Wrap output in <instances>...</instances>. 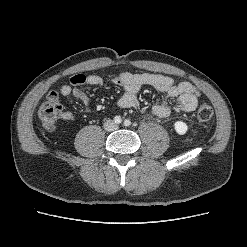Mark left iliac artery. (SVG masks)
<instances>
[{"mask_svg":"<svg viewBox=\"0 0 247 247\" xmlns=\"http://www.w3.org/2000/svg\"><path fill=\"white\" fill-rule=\"evenodd\" d=\"M124 125H125V126H130V125H131V121H130L129 119H126V120L124 121Z\"/></svg>","mask_w":247,"mask_h":247,"instance_id":"obj_1","label":"left iliac artery"}]
</instances>
